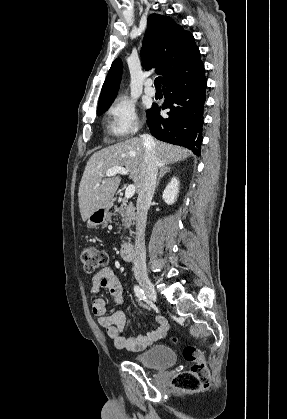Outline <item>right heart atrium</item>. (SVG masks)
Instances as JSON below:
<instances>
[{
	"instance_id": "d8ad5b80",
	"label": "right heart atrium",
	"mask_w": 287,
	"mask_h": 419,
	"mask_svg": "<svg viewBox=\"0 0 287 419\" xmlns=\"http://www.w3.org/2000/svg\"><path fill=\"white\" fill-rule=\"evenodd\" d=\"M107 115L109 118L108 130L114 137H127L138 129L135 105L126 97H116L110 104Z\"/></svg>"
}]
</instances>
